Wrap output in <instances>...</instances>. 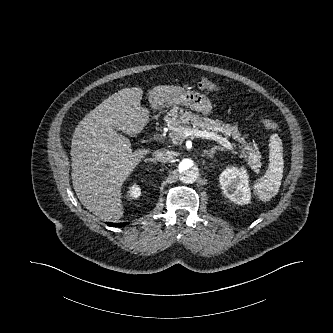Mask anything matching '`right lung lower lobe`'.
Returning <instances> with one entry per match:
<instances>
[{
	"instance_id": "obj_1",
	"label": "right lung lower lobe",
	"mask_w": 333,
	"mask_h": 333,
	"mask_svg": "<svg viewBox=\"0 0 333 333\" xmlns=\"http://www.w3.org/2000/svg\"><path fill=\"white\" fill-rule=\"evenodd\" d=\"M109 226L112 227H123L125 226L127 223H107Z\"/></svg>"
}]
</instances>
